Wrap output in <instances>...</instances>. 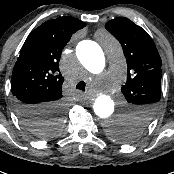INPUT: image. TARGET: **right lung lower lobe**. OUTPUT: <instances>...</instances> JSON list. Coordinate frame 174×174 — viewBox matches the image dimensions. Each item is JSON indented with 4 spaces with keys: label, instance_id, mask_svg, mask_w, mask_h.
I'll return each mask as SVG.
<instances>
[{
    "label": "right lung lower lobe",
    "instance_id": "right-lung-lower-lobe-1",
    "mask_svg": "<svg viewBox=\"0 0 174 174\" xmlns=\"http://www.w3.org/2000/svg\"><path fill=\"white\" fill-rule=\"evenodd\" d=\"M15 97L17 98L16 99L17 112L21 116V118H22L21 112L29 113V112H35V111L39 110L37 108H33L32 105L26 103V101L31 100L33 98L31 95L17 94ZM49 104H51V103H49ZM52 104L57 105L58 108H62V105L60 104V102H53ZM25 122H27V121H25Z\"/></svg>",
    "mask_w": 174,
    "mask_h": 174
}]
</instances>
